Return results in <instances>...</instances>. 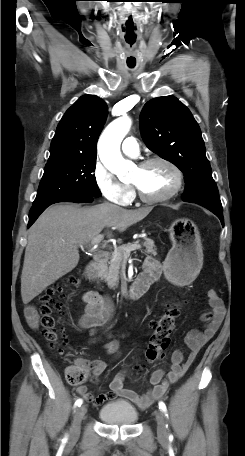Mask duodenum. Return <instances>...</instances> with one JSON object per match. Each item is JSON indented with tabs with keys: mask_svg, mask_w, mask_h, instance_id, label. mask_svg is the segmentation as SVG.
<instances>
[{
	"mask_svg": "<svg viewBox=\"0 0 245 456\" xmlns=\"http://www.w3.org/2000/svg\"><path fill=\"white\" fill-rule=\"evenodd\" d=\"M109 257L108 252L97 254L85 268V277L89 282H99V271ZM159 271L155 267L144 268L126 293V298L136 300L142 297L150 285L157 279Z\"/></svg>",
	"mask_w": 245,
	"mask_h": 456,
	"instance_id": "duodenum-1",
	"label": "duodenum"
}]
</instances>
